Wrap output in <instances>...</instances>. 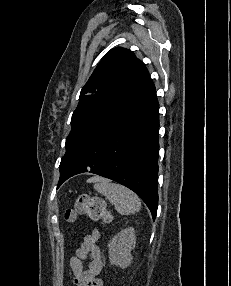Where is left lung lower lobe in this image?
Returning a JSON list of instances; mask_svg holds the SVG:
<instances>
[{
  "label": "left lung lower lobe",
  "mask_w": 231,
  "mask_h": 286,
  "mask_svg": "<svg viewBox=\"0 0 231 286\" xmlns=\"http://www.w3.org/2000/svg\"><path fill=\"white\" fill-rule=\"evenodd\" d=\"M159 104L149 77L81 140L60 174L58 186L84 172L134 191L153 220L158 206Z\"/></svg>",
  "instance_id": "0a47b994"
}]
</instances>
